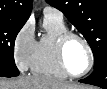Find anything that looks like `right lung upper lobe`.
Returning <instances> with one entry per match:
<instances>
[{
    "label": "right lung upper lobe",
    "mask_w": 107,
    "mask_h": 89,
    "mask_svg": "<svg viewBox=\"0 0 107 89\" xmlns=\"http://www.w3.org/2000/svg\"><path fill=\"white\" fill-rule=\"evenodd\" d=\"M32 0H0V18L26 22L31 14Z\"/></svg>",
    "instance_id": "1"
}]
</instances>
